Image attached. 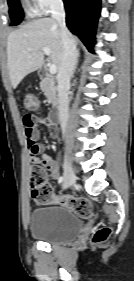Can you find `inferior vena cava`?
Segmentation results:
<instances>
[{"label":"inferior vena cava","instance_id":"602c4592","mask_svg":"<svg viewBox=\"0 0 134 281\" xmlns=\"http://www.w3.org/2000/svg\"><path fill=\"white\" fill-rule=\"evenodd\" d=\"M52 18L56 20L60 28L62 41V59L57 74L58 82V112L62 134L67 128L69 117V98L70 79L76 64L77 50L72 35L68 31L65 23V9L62 0H53L51 3Z\"/></svg>","mask_w":134,"mask_h":281}]
</instances>
